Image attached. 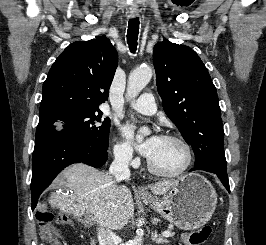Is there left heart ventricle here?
<instances>
[{"label":"left heart ventricle","instance_id":"left-heart-ventricle-1","mask_svg":"<svg viewBox=\"0 0 266 245\" xmlns=\"http://www.w3.org/2000/svg\"><path fill=\"white\" fill-rule=\"evenodd\" d=\"M150 162L160 172H177L185 163L184 148L179 142L162 137Z\"/></svg>","mask_w":266,"mask_h":245}]
</instances>
